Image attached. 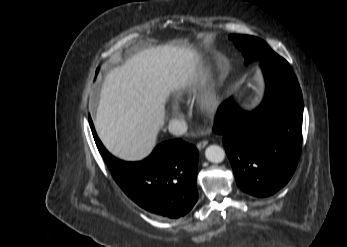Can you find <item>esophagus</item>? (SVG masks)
<instances>
[{"label": "esophagus", "instance_id": "34e87169", "mask_svg": "<svg viewBox=\"0 0 347 247\" xmlns=\"http://www.w3.org/2000/svg\"><path fill=\"white\" fill-rule=\"evenodd\" d=\"M208 144L207 140H202L200 142L197 143L196 147L197 149L201 150L203 149L206 145Z\"/></svg>", "mask_w": 347, "mask_h": 247}]
</instances>
